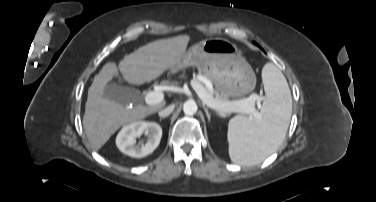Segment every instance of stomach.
<instances>
[{
	"label": "stomach",
	"mask_w": 376,
	"mask_h": 202,
	"mask_svg": "<svg viewBox=\"0 0 376 202\" xmlns=\"http://www.w3.org/2000/svg\"><path fill=\"white\" fill-rule=\"evenodd\" d=\"M189 66L197 67L218 92L228 98L244 96L255 88L252 67L237 47L226 39H206L194 44L170 72L174 74Z\"/></svg>",
	"instance_id": "1"
}]
</instances>
